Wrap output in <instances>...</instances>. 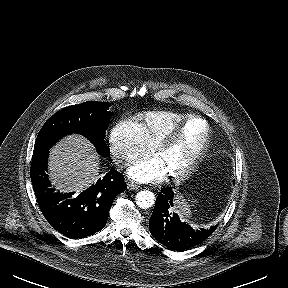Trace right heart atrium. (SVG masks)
I'll use <instances>...</instances> for the list:
<instances>
[{"label":"right heart atrium","mask_w":288,"mask_h":288,"mask_svg":"<svg viewBox=\"0 0 288 288\" xmlns=\"http://www.w3.org/2000/svg\"><path fill=\"white\" fill-rule=\"evenodd\" d=\"M109 142L113 159L119 165H128L153 152L141 127L131 119L120 120L113 126Z\"/></svg>","instance_id":"obj_1"}]
</instances>
